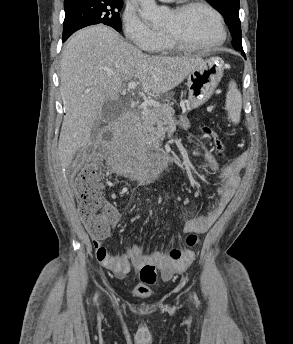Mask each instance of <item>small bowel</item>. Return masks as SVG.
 Instances as JSON below:
<instances>
[{
	"label": "small bowel",
	"mask_w": 293,
	"mask_h": 344,
	"mask_svg": "<svg viewBox=\"0 0 293 344\" xmlns=\"http://www.w3.org/2000/svg\"><path fill=\"white\" fill-rule=\"evenodd\" d=\"M181 126L188 128V121L182 119ZM204 161L210 171L219 172L222 186L218 190L215 206L208 213L189 219L184 225L185 232L203 234L213 225L240 185V172L245 165V156L239 155L221 168L213 154L210 151H205ZM93 246L99 263L109 269L117 278H124L132 270L139 271L146 265H157L163 276L170 278L174 273L186 270L195 258L194 251L190 249L184 250L179 260H172L160 251L144 254L141 243H136L133 247L127 248L122 255H112L103 245V238H94ZM146 291L147 289L141 286L136 288L134 292L136 295H143Z\"/></svg>",
	"instance_id": "small-bowel-1"
}]
</instances>
